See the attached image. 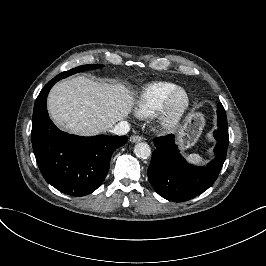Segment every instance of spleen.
<instances>
[{"mask_svg":"<svg viewBox=\"0 0 266 266\" xmlns=\"http://www.w3.org/2000/svg\"><path fill=\"white\" fill-rule=\"evenodd\" d=\"M190 158H191L192 160H194V161H198V160H199V157H198L197 155H195V154H191V155H190Z\"/></svg>","mask_w":266,"mask_h":266,"instance_id":"3e777b00","label":"spleen"}]
</instances>
